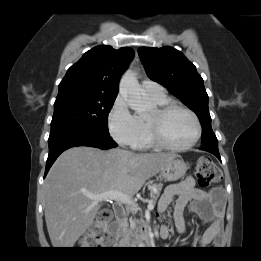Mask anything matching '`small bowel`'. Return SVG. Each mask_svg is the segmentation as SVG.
<instances>
[{"label": "small bowel", "mask_w": 261, "mask_h": 261, "mask_svg": "<svg viewBox=\"0 0 261 261\" xmlns=\"http://www.w3.org/2000/svg\"><path fill=\"white\" fill-rule=\"evenodd\" d=\"M225 193L221 188L215 187L205 191L195 187L192 177H186L184 180L170 185L160 198L158 211L164 212L172 203V213L174 224L179 233L185 231L183 219V210L189 202H192V211L196 213L203 221L209 223L205 233L199 240V246L205 247L217 243L222 230ZM163 235L168 234V228L163 227Z\"/></svg>", "instance_id": "c3829d8e"}]
</instances>
